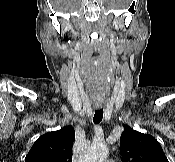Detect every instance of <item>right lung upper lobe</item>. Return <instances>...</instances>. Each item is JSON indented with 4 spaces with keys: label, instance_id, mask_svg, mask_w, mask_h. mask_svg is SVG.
<instances>
[{
    "label": "right lung upper lobe",
    "instance_id": "right-lung-upper-lobe-1",
    "mask_svg": "<svg viewBox=\"0 0 175 162\" xmlns=\"http://www.w3.org/2000/svg\"><path fill=\"white\" fill-rule=\"evenodd\" d=\"M75 131L66 126L40 136L28 152L25 162H72Z\"/></svg>",
    "mask_w": 175,
    "mask_h": 162
}]
</instances>
